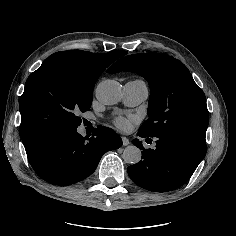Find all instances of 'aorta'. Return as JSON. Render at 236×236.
<instances>
[{"instance_id": "1", "label": "aorta", "mask_w": 236, "mask_h": 236, "mask_svg": "<svg viewBox=\"0 0 236 236\" xmlns=\"http://www.w3.org/2000/svg\"><path fill=\"white\" fill-rule=\"evenodd\" d=\"M121 85L114 80H105L96 88V98L104 105H114L121 100ZM123 159L126 163L136 164L141 160V150L129 145L123 151Z\"/></svg>"}]
</instances>
